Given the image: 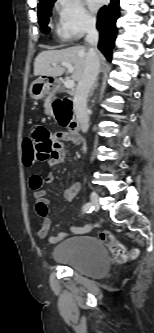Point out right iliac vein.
Returning a JSON list of instances; mask_svg holds the SVG:
<instances>
[{
  "label": "right iliac vein",
  "instance_id": "1",
  "mask_svg": "<svg viewBox=\"0 0 154 333\" xmlns=\"http://www.w3.org/2000/svg\"><path fill=\"white\" fill-rule=\"evenodd\" d=\"M90 197L92 205L94 206L95 210L98 211L100 208V199L98 194L95 191H92Z\"/></svg>",
  "mask_w": 154,
  "mask_h": 333
}]
</instances>
